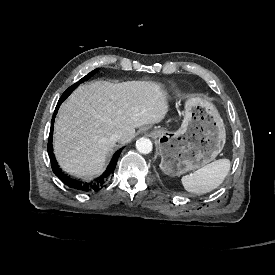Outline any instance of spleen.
Listing matches in <instances>:
<instances>
[{"instance_id": "spleen-1", "label": "spleen", "mask_w": 275, "mask_h": 275, "mask_svg": "<svg viewBox=\"0 0 275 275\" xmlns=\"http://www.w3.org/2000/svg\"><path fill=\"white\" fill-rule=\"evenodd\" d=\"M230 170L228 159H219L181 178L187 192L204 194L217 188Z\"/></svg>"}]
</instances>
